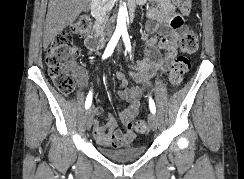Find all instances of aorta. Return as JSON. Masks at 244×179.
<instances>
[{
  "label": "aorta",
  "mask_w": 244,
  "mask_h": 179,
  "mask_svg": "<svg viewBox=\"0 0 244 179\" xmlns=\"http://www.w3.org/2000/svg\"><path fill=\"white\" fill-rule=\"evenodd\" d=\"M124 30H127L126 14H125L124 6H121V8H119V12H118L116 32H124Z\"/></svg>",
  "instance_id": "762f6f07"
}]
</instances>
